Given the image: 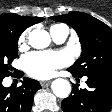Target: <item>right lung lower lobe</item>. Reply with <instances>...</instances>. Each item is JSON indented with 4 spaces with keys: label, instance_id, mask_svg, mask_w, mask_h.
I'll use <instances>...</instances> for the list:
<instances>
[{
    "label": "right lung lower lobe",
    "instance_id": "obj_1",
    "mask_svg": "<svg viewBox=\"0 0 112 112\" xmlns=\"http://www.w3.org/2000/svg\"><path fill=\"white\" fill-rule=\"evenodd\" d=\"M3 78H0V112H30L34 94L41 88L39 82L23 78L21 86L6 88L1 84Z\"/></svg>",
    "mask_w": 112,
    "mask_h": 112
}]
</instances>
